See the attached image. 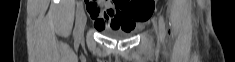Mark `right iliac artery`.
Returning <instances> with one entry per match:
<instances>
[{"instance_id":"right-iliac-artery-1","label":"right iliac artery","mask_w":235,"mask_h":62,"mask_svg":"<svg viewBox=\"0 0 235 62\" xmlns=\"http://www.w3.org/2000/svg\"><path fill=\"white\" fill-rule=\"evenodd\" d=\"M82 14H83V5H82V3L80 2V3L77 5V10H76V24H75V29H74V36H76L77 29H78L79 22H80V19H81Z\"/></svg>"}]
</instances>
